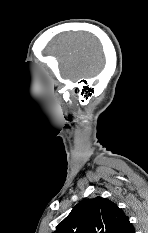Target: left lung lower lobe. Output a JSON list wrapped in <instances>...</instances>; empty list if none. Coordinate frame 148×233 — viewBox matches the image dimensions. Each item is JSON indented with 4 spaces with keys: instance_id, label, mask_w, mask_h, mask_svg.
I'll list each match as a JSON object with an SVG mask.
<instances>
[{
    "instance_id": "0a47b994",
    "label": "left lung lower lobe",
    "mask_w": 148,
    "mask_h": 233,
    "mask_svg": "<svg viewBox=\"0 0 148 233\" xmlns=\"http://www.w3.org/2000/svg\"><path fill=\"white\" fill-rule=\"evenodd\" d=\"M128 233H135L134 227H132V228L128 231Z\"/></svg>"
}]
</instances>
